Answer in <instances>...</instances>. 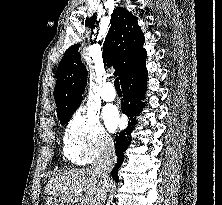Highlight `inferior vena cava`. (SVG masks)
<instances>
[{"label":"inferior vena cava","mask_w":222,"mask_h":205,"mask_svg":"<svg viewBox=\"0 0 222 205\" xmlns=\"http://www.w3.org/2000/svg\"><path fill=\"white\" fill-rule=\"evenodd\" d=\"M116 163L115 147L112 139H106L103 150L93 164V170L98 175L103 188L107 191L109 187V174Z\"/></svg>","instance_id":"602c4592"}]
</instances>
